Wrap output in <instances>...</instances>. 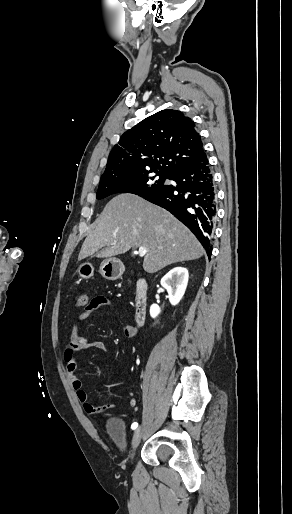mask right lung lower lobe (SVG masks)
<instances>
[{"instance_id":"right-lung-lower-lobe-1","label":"right lung lower lobe","mask_w":292,"mask_h":514,"mask_svg":"<svg viewBox=\"0 0 292 514\" xmlns=\"http://www.w3.org/2000/svg\"><path fill=\"white\" fill-rule=\"evenodd\" d=\"M168 179L175 181L176 185L163 184L142 197L165 208L185 224L210 257L216 193L207 156L176 170Z\"/></svg>"}]
</instances>
